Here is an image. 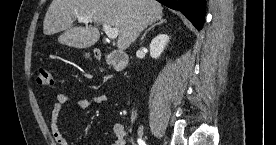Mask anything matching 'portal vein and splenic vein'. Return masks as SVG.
Here are the masks:
<instances>
[{"label": "portal vein and splenic vein", "instance_id": "18ae733b", "mask_svg": "<svg viewBox=\"0 0 276 145\" xmlns=\"http://www.w3.org/2000/svg\"><path fill=\"white\" fill-rule=\"evenodd\" d=\"M78 21L83 22V23H89V22H92V17L91 16H79ZM102 26H103L104 32L106 33V35L109 39L117 38V36H118L117 28L111 27V26H109L107 24H103V23H102Z\"/></svg>", "mask_w": 276, "mask_h": 145}]
</instances>
